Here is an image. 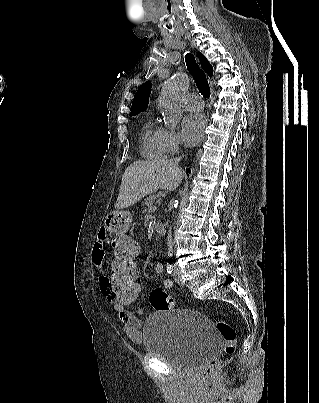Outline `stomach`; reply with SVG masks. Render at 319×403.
Instances as JSON below:
<instances>
[{
	"label": "stomach",
	"mask_w": 319,
	"mask_h": 403,
	"mask_svg": "<svg viewBox=\"0 0 319 403\" xmlns=\"http://www.w3.org/2000/svg\"><path fill=\"white\" fill-rule=\"evenodd\" d=\"M105 227L111 234H130L133 227V220L130 212H110L105 219Z\"/></svg>",
	"instance_id": "0dacf381"
}]
</instances>
